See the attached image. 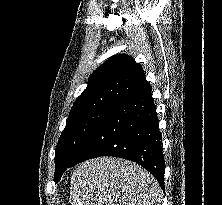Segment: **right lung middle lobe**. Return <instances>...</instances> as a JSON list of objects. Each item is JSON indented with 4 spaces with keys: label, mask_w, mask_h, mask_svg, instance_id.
I'll use <instances>...</instances> for the list:
<instances>
[{
    "label": "right lung middle lobe",
    "mask_w": 222,
    "mask_h": 205,
    "mask_svg": "<svg viewBox=\"0 0 222 205\" xmlns=\"http://www.w3.org/2000/svg\"><path fill=\"white\" fill-rule=\"evenodd\" d=\"M110 109L90 110L67 119L66 127L61 133L55 150L54 181L56 183L69 167L83 142Z\"/></svg>",
    "instance_id": "obj_1"
}]
</instances>
